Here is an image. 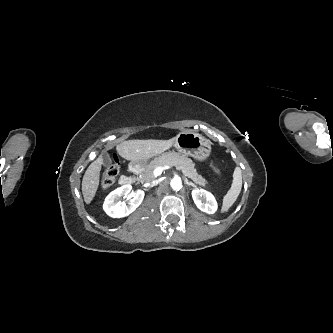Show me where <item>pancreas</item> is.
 Instances as JSON below:
<instances>
[{"label":"pancreas","mask_w":333,"mask_h":333,"mask_svg":"<svg viewBox=\"0 0 333 333\" xmlns=\"http://www.w3.org/2000/svg\"><path fill=\"white\" fill-rule=\"evenodd\" d=\"M165 165L175 166L178 170H181L185 176L192 179L200 186L205 187L208 184L207 180L198 174L195 164L191 159L172 151L166 152L161 156L154 158V160H152L150 164L146 165L142 170L138 180L141 183L151 182L156 178L153 174L154 170L157 167Z\"/></svg>","instance_id":"pancreas-1"}]
</instances>
